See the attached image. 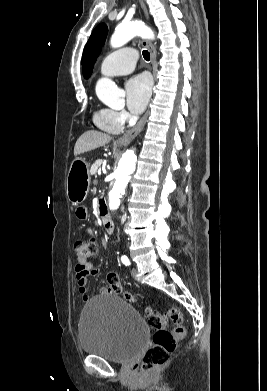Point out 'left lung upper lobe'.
Instances as JSON below:
<instances>
[{
	"instance_id": "obj_1",
	"label": "left lung upper lobe",
	"mask_w": 267,
	"mask_h": 391,
	"mask_svg": "<svg viewBox=\"0 0 267 391\" xmlns=\"http://www.w3.org/2000/svg\"><path fill=\"white\" fill-rule=\"evenodd\" d=\"M108 33V28L105 24H99L92 32L82 56V70L84 78H89L94 63L100 54L101 47L103 46L106 36Z\"/></svg>"
}]
</instances>
